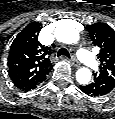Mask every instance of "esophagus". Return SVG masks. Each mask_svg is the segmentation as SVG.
Segmentation results:
<instances>
[{
	"label": "esophagus",
	"mask_w": 115,
	"mask_h": 119,
	"mask_svg": "<svg viewBox=\"0 0 115 119\" xmlns=\"http://www.w3.org/2000/svg\"><path fill=\"white\" fill-rule=\"evenodd\" d=\"M69 61L75 67H79V65H80V63L78 62V60L75 56H71Z\"/></svg>",
	"instance_id": "34e87169"
}]
</instances>
